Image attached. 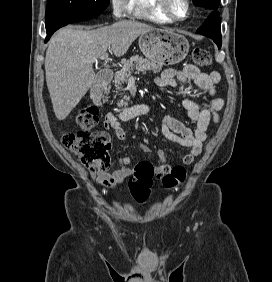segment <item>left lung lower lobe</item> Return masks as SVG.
I'll use <instances>...</instances> for the list:
<instances>
[{"mask_svg":"<svg viewBox=\"0 0 272 282\" xmlns=\"http://www.w3.org/2000/svg\"><path fill=\"white\" fill-rule=\"evenodd\" d=\"M216 10H211L208 20L197 30L198 33L214 40L218 48H221L220 18Z\"/></svg>","mask_w":272,"mask_h":282,"instance_id":"left-lung-lower-lobe-1","label":"left lung lower lobe"}]
</instances>
